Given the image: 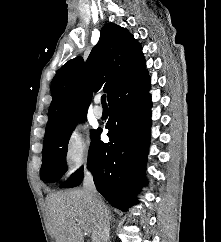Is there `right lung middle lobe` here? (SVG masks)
<instances>
[{
  "instance_id": "1",
  "label": "right lung middle lobe",
  "mask_w": 221,
  "mask_h": 242,
  "mask_svg": "<svg viewBox=\"0 0 221 242\" xmlns=\"http://www.w3.org/2000/svg\"><path fill=\"white\" fill-rule=\"evenodd\" d=\"M84 117L75 120L67 128L49 138L44 139L42 150V166L40 178L48 183L58 181L66 172V152L67 144L77 121H82ZM95 131H92V136Z\"/></svg>"
}]
</instances>
